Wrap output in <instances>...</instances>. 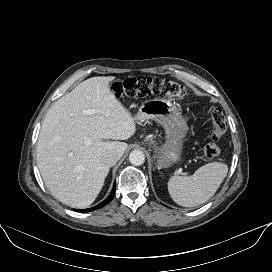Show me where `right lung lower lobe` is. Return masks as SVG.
Masks as SVG:
<instances>
[{
	"label": "right lung lower lobe",
	"mask_w": 272,
	"mask_h": 272,
	"mask_svg": "<svg viewBox=\"0 0 272 272\" xmlns=\"http://www.w3.org/2000/svg\"><path fill=\"white\" fill-rule=\"evenodd\" d=\"M114 194H115V184L113 186V189H112V192H111L110 196L106 200H104L103 202H101L100 204H98V205H96V206H94L92 208H88V209H77V211H79V212H88V211H93L95 209H99V208L107 205L113 199Z\"/></svg>",
	"instance_id": "obj_1"
}]
</instances>
